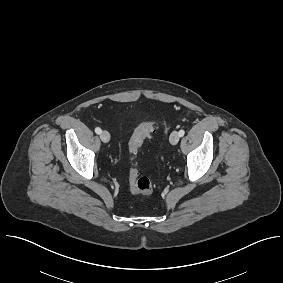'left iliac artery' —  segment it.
Listing matches in <instances>:
<instances>
[{
	"label": "left iliac artery",
	"instance_id": "left-iliac-artery-1",
	"mask_svg": "<svg viewBox=\"0 0 283 283\" xmlns=\"http://www.w3.org/2000/svg\"><path fill=\"white\" fill-rule=\"evenodd\" d=\"M184 134H185V131H184V130H180V131H179V136H180V137L184 136Z\"/></svg>",
	"mask_w": 283,
	"mask_h": 283
}]
</instances>
